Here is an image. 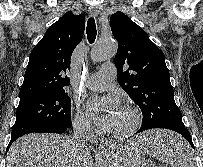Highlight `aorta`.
Wrapping results in <instances>:
<instances>
[{"mask_svg": "<svg viewBox=\"0 0 203 167\" xmlns=\"http://www.w3.org/2000/svg\"><path fill=\"white\" fill-rule=\"evenodd\" d=\"M117 49L118 44L112 37L100 39L93 48L90 58L93 62H102L114 57Z\"/></svg>", "mask_w": 203, "mask_h": 167, "instance_id": "1", "label": "aorta"}]
</instances>
